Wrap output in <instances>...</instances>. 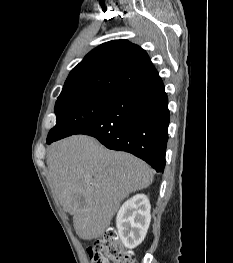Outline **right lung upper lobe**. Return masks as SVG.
Returning a JSON list of instances; mask_svg holds the SVG:
<instances>
[{
  "mask_svg": "<svg viewBox=\"0 0 233 263\" xmlns=\"http://www.w3.org/2000/svg\"><path fill=\"white\" fill-rule=\"evenodd\" d=\"M158 75L147 53L127 40L104 43L70 72L60 96L79 92L120 93Z\"/></svg>",
  "mask_w": 233,
  "mask_h": 263,
  "instance_id": "1",
  "label": "right lung upper lobe"
}]
</instances>
